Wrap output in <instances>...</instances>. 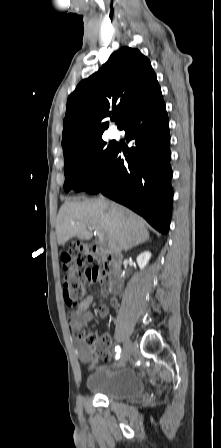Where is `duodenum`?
Returning a JSON list of instances; mask_svg holds the SVG:
<instances>
[{
  "label": "duodenum",
  "instance_id": "1",
  "mask_svg": "<svg viewBox=\"0 0 221 448\" xmlns=\"http://www.w3.org/2000/svg\"><path fill=\"white\" fill-rule=\"evenodd\" d=\"M98 256L101 254V251L96 248ZM104 258H106L104 262V267L107 271L108 275V283H107V289L108 291H111L113 293H117L119 289V275H120V261L118 257L113 252H107L104 255Z\"/></svg>",
  "mask_w": 221,
  "mask_h": 448
}]
</instances>
